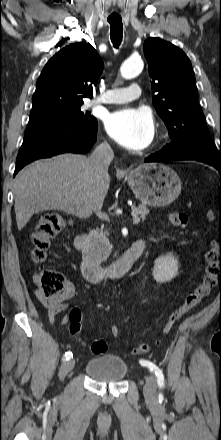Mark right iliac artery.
I'll use <instances>...</instances> for the list:
<instances>
[{"label": "right iliac artery", "mask_w": 221, "mask_h": 440, "mask_svg": "<svg viewBox=\"0 0 221 440\" xmlns=\"http://www.w3.org/2000/svg\"><path fill=\"white\" fill-rule=\"evenodd\" d=\"M72 357V353L71 352H66L65 355L63 356V361H67Z\"/></svg>", "instance_id": "obj_1"}]
</instances>
